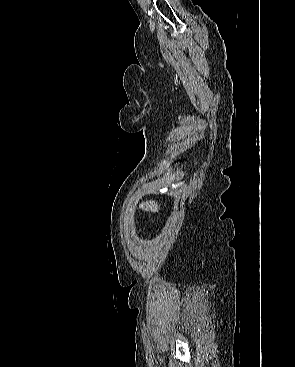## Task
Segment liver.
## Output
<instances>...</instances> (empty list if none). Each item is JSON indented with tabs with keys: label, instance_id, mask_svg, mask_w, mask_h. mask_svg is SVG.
Instances as JSON below:
<instances>
[{
	"label": "liver",
	"instance_id": "6515ba94",
	"mask_svg": "<svg viewBox=\"0 0 295 367\" xmlns=\"http://www.w3.org/2000/svg\"><path fill=\"white\" fill-rule=\"evenodd\" d=\"M140 208H142L145 211L157 212L159 211L160 205H158V203L155 202L154 200H149L146 202H142L140 204Z\"/></svg>",
	"mask_w": 295,
	"mask_h": 367
}]
</instances>
